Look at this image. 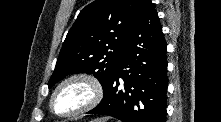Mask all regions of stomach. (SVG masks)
I'll return each instance as SVG.
<instances>
[{"label":"stomach","mask_w":221,"mask_h":122,"mask_svg":"<svg viewBox=\"0 0 221 122\" xmlns=\"http://www.w3.org/2000/svg\"><path fill=\"white\" fill-rule=\"evenodd\" d=\"M107 120H108L107 118H98V119H95L91 122H107Z\"/></svg>","instance_id":"1"}]
</instances>
